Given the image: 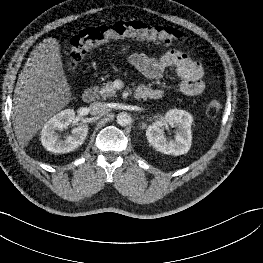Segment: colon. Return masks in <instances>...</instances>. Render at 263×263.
I'll use <instances>...</instances> for the list:
<instances>
[{
  "mask_svg": "<svg viewBox=\"0 0 263 263\" xmlns=\"http://www.w3.org/2000/svg\"><path fill=\"white\" fill-rule=\"evenodd\" d=\"M126 38L152 40L170 45L180 42L183 34L171 27H153L137 21L91 27L81 30L71 38L69 46L71 65L76 66L87 52L97 46ZM221 108L222 103L218 98H210L206 103V114L209 117H215Z\"/></svg>",
  "mask_w": 263,
  "mask_h": 263,
  "instance_id": "5ec220e1",
  "label": "colon"
}]
</instances>
